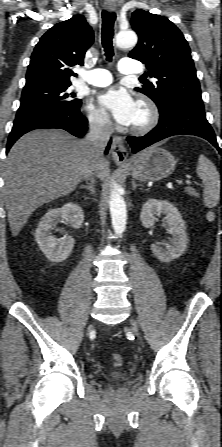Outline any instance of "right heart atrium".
I'll list each match as a JSON object with an SVG mask.
<instances>
[{"instance_id":"right-heart-atrium-1","label":"right heart atrium","mask_w":222,"mask_h":447,"mask_svg":"<svg viewBox=\"0 0 222 447\" xmlns=\"http://www.w3.org/2000/svg\"><path fill=\"white\" fill-rule=\"evenodd\" d=\"M86 119L89 125L100 131H108L111 128V123L108 117L100 110L91 105L85 107Z\"/></svg>"}]
</instances>
